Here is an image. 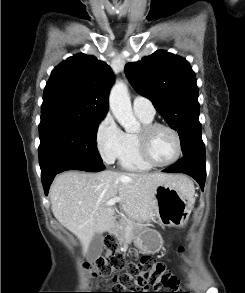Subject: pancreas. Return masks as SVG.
Here are the masks:
<instances>
[{
    "label": "pancreas",
    "mask_w": 245,
    "mask_h": 293,
    "mask_svg": "<svg viewBox=\"0 0 245 293\" xmlns=\"http://www.w3.org/2000/svg\"><path fill=\"white\" fill-rule=\"evenodd\" d=\"M145 224L143 219L136 217H128L119 222L115 230V236L120 244H124L128 236L140 232L144 228Z\"/></svg>",
    "instance_id": "obj_1"
}]
</instances>
